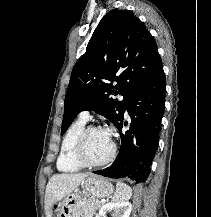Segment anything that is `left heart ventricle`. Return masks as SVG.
Wrapping results in <instances>:
<instances>
[{"instance_id": "b2bd125f", "label": "left heart ventricle", "mask_w": 211, "mask_h": 217, "mask_svg": "<svg viewBox=\"0 0 211 217\" xmlns=\"http://www.w3.org/2000/svg\"><path fill=\"white\" fill-rule=\"evenodd\" d=\"M111 148L112 141L102 130H94L88 134L86 153L90 160H103L109 155Z\"/></svg>"}]
</instances>
